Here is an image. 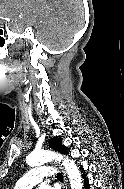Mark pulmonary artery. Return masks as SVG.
Returning <instances> with one entry per match:
<instances>
[{
    "instance_id": "pulmonary-artery-1",
    "label": "pulmonary artery",
    "mask_w": 124,
    "mask_h": 189,
    "mask_svg": "<svg viewBox=\"0 0 124 189\" xmlns=\"http://www.w3.org/2000/svg\"><path fill=\"white\" fill-rule=\"evenodd\" d=\"M55 172L53 167L33 168L16 182L15 187L17 189H31L47 177L54 176Z\"/></svg>"
}]
</instances>
